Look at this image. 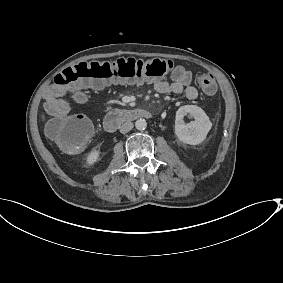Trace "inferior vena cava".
<instances>
[{"label":"inferior vena cava","mask_w":283,"mask_h":283,"mask_svg":"<svg viewBox=\"0 0 283 283\" xmlns=\"http://www.w3.org/2000/svg\"><path fill=\"white\" fill-rule=\"evenodd\" d=\"M133 123L130 121H126L122 124V126L120 127V132L121 133H127L129 131H131L133 129Z\"/></svg>","instance_id":"602c4592"}]
</instances>
